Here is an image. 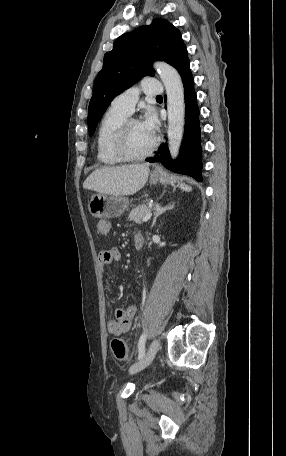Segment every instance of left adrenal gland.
<instances>
[{"label": "left adrenal gland", "instance_id": "left-adrenal-gland-1", "mask_svg": "<svg viewBox=\"0 0 286 456\" xmlns=\"http://www.w3.org/2000/svg\"><path fill=\"white\" fill-rule=\"evenodd\" d=\"M174 207V203L172 204H169L168 206L166 207H161L158 203L155 205V213H154V218H153V221H152V225L151 227H153L156 223V220L157 218L164 214L166 211L172 209Z\"/></svg>", "mask_w": 286, "mask_h": 456}]
</instances>
